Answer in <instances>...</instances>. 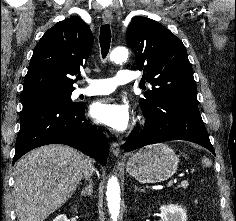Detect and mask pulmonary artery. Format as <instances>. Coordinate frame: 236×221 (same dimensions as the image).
<instances>
[{
    "mask_svg": "<svg viewBox=\"0 0 236 221\" xmlns=\"http://www.w3.org/2000/svg\"><path fill=\"white\" fill-rule=\"evenodd\" d=\"M136 75L129 70H119L115 77L107 79H95L86 77L85 80L90 84L88 87L77 88L75 96H95L113 92L118 85L132 82Z\"/></svg>",
    "mask_w": 236,
    "mask_h": 221,
    "instance_id": "1",
    "label": "pulmonary artery"
}]
</instances>
